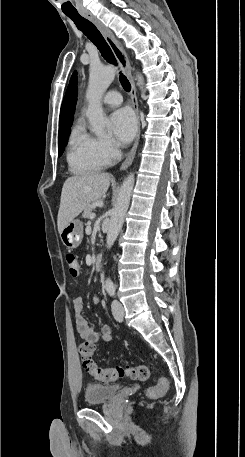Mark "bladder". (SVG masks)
Returning a JSON list of instances; mask_svg holds the SVG:
<instances>
[{
  "mask_svg": "<svg viewBox=\"0 0 245 457\" xmlns=\"http://www.w3.org/2000/svg\"><path fill=\"white\" fill-rule=\"evenodd\" d=\"M119 386L105 384H87L85 390L86 405H94L110 401L118 392Z\"/></svg>",
  "mask_w": 245,
  "mask_h": 457,
  "instance_id": "1",
  "label": "bladder"
}]
</instances>
